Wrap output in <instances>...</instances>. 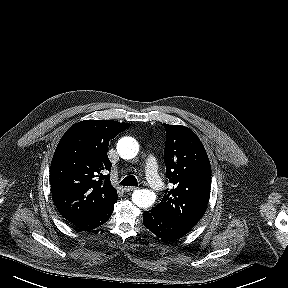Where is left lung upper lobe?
I'll use <instances>...</instances> for the list:
<instances>
[{
    "label": "left lung upper lobe",
    "instance_id": "obj_1",
    "mask_svg": "<svg viewBox=\"0 0 288 288\" xmlns=\"http://www.w3.org/2000/svg\"><path fill=\"white\" fill-rule=\"evenodd\" d=\"M166 175L174 184L154 208L184 225L194 227L210 197L211 166L203 144L187 127L164 124Z\"/></svg>",
    "mask_w": 288,
    "mask_h": 288
}]
</instances>
